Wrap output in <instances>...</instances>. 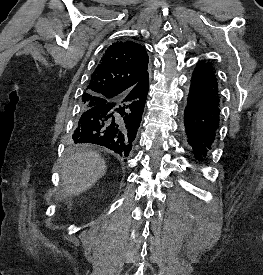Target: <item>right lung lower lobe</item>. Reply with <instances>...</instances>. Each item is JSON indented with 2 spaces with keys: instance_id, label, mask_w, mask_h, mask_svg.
I'll list each match as a JSON object with an SVG mask.
<instances>
[{
  "instance_id": "1",
  "label": "right lung lower lobe",
  "mask_w": 263,
  "mask_h": 275,
  "mask_svg": "<svg viewBox=\"0 0 263 275\" xmlns=\"http://www.w3.org/2000/svg\"><path fill=\"white\" fill-rule=\"evenodd\" d=\"M144 83L149 89L148 76ZM127 102V95L116 94L99 105L83 110L73 134L74 143L100 145L127 157L143 113L130 108Z\"/></svg>"
}]
</instances>
